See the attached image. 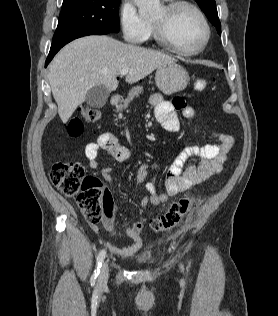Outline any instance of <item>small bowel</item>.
I'll list each match as a JSON object with an SVG mask.
<instances>
[{
	"label": "small bowel",
	"mask_w": 278,
	"mask_h": 316,
	"mask_svg": "<svg viewBox=\"0 0 278 316\" xmlns=\"http://www.w3.org/2000/svg\"><path fill=\"white\" fill-rule=\"evenodd\" d=\"M150 102L154 106L156 120L168 132L179 131L178 112H181L186 119L193 118L195 114L194 109L180 97L172 101H166L160 94H154L151 96ZM213 137L216 139L215 143L187 147L175 156L166 173V191L164 193H158L153 182H146L147 177L151 174L152 167L148 163L141 164L136 179L139 184H145L147 195L141 199L140 205L143 207L147 205L160 206L167 202L169 197L205 183L219 174L227 160L228 152L234 144V138L222 132L214 133ZM100 150H104L117 162H125L132 157V152L128 147L121 145L112 133L106 132L101 134L96 141L85 145L84 154L91 169L98 167L97 156ZM191 157L195 158V163L184 168V163ZM111 172L112 167L103 168L102 178L104 181H112ZM114 218V199L109 192H105L102 225L109 233L114 230ZM143 225L144 220L127 224L126 233L132 241L131 244L118 246L114 243H107L108 249L120 256H129L137 252L144 245V239L141 236ZM92 229L94 232H98L97 226L92 225Z\"/></svg>",
	"instance_id": "small-bowel-1"
}]
</instances>
